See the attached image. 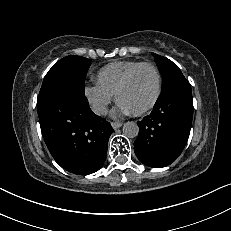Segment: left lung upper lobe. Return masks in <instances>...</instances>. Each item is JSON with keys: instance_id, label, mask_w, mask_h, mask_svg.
<instances>
[{"instance_id": "obj_1", "label": "left lung upper lobe", "mask_w": 231, "mask_h": 231, "mask_svg": "<svg viewBox=\"0 0 231 231\" xmlns=\"http://www.w3.org/2000/svg\"><path fill=\"white\" fill-rule=\"evenodd\" d=\"M153 55L163 78V87L173 80L184 78L180 69L171 60L154 53Z\"/></svg>"}]
</instances>
